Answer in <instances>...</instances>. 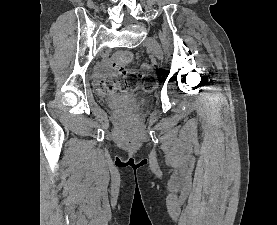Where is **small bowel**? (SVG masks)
Instances as JSON below:
<instances>
[{
  "instance_id": "1",
  "label": "small bowel",
  "mask_w": 277,
  "mask_h": 225,
  "mask_svg": "<svg viewBox=\"0 0 277 225\" xmlns=\"http://www.w3.org/2000/svg\"><path fill=\"white\" fill-rule=\"evenodd\" d=\"M104 78H105V77H102V78L100 79L99 83H100Z\"/></svg>"
}]
</instances>
